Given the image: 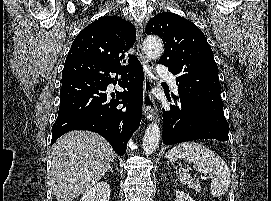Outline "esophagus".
<instances>
[{
	"instance_id": "34e87169",
	"label": "esophagus",
	"mask_w": 271,
	"mask_h": 201,
	"mask_svg": "<svg viewBox=\"0 0 271 201\" xmlns=\"http://www.w3.org/2000/svg\"><path fill=\"white\" fill-rule=\"evenodd\" d=\"M134 25L136 28L138 56L144 68L143 113L149 121H159L158 109L155 105L152 95L153 77L150 73L152 65L151 61L147 58L142 49L143 24L139 21H136Z\"/></svg>"
}]
</instances>
